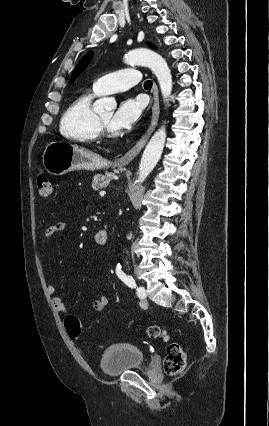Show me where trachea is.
<instances>
[{
	"mask_svg": "<svg viewBox=\"0 0 269 426\" xmlns=\"http://www.w3.org/2000/svg\"><path fill=\"white\" fill-rule=\"evenodd\" d=\"M144 87L145 88H151L152 87V81H150V80L145 81Z\"/></svg>",
	"mask_w": 269,
	"mask_h": 426,
	"instance_id": "3493384b",
	"label": "trachea"
}]
</instances>
